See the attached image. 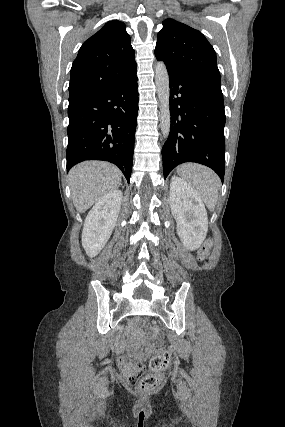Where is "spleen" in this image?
Masks as SVG:
<instances>
[{
    "mask_svg": "<svg viewBox=\"0 0 285 427\" xmlns=\"http://www.w3.org/2000/svg\"><path fill=\"white\" fill-rule=\"evenodd\" d=\"M177 173L195 190L207 208L213 211L221 186L217 174L205 166L193 163L180 165Z\"/></svg>",
    "mask_w": 285,
    "mask_h": 427,
    "instance_id": "spleen-1",
    "label": "spleen"
}]
</instances>
